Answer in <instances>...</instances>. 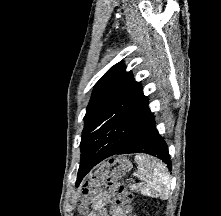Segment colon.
I'll list each match as a JSON object with an SVG mask.
<instances>
[{"instance_id":"obj_1","label":"colon","mask_w":221,"mask_h":216,"mask_svg":"<svg viewBox=\"0 0 221 216\" xmlns=\"http://www.w3.org/2000/svg\"><path fill=\"white\" fill-rule=\"evenodd\" d=\"M113 165H116V168L114 171H111ZM127 167L128 163L125 160L116 159L109 161L94 170L91 174V182L82 192L81 203L79 206L80 212H86L97 202L100 194V184L103 181H106L109 193L110 195L115 196L116 204L123 216H131L133 196L115 180V176L126 171Z\"/></svg>"}]
</instances>
